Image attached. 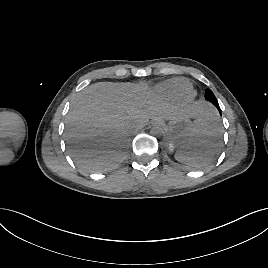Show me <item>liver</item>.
<instances>
[{"label": "liver", "instance_id": "obj_1", "mask_svg": "<svg viewBox=\"0 0 268 268\" xmlns=\"http://www.w3.org/2000/svg\"><path fill=\"white\" fill-rule=\"evenodd\" d=\"M213 109L196 102L188 115L197 119ZM183 115L181 109L152 95L147 86L130 83L98 82L74 97L66 116L65 139L76 164L100 172L114 167L134 128L153 121Z\"/></svg>", "mask_w": 268, "mask_h": 268}]
</instances>
